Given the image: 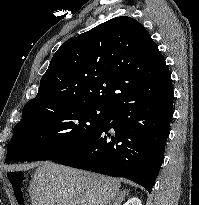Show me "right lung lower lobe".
I'll return each instance as SVG.
<instances>
[{"instance_id":"obj_1","label":"right lung lower lobe","mask_w":199,"mask_h":205,"mask_svg":"<svg viewBox=\"0 0 199 205\" xmlns=\"http://www.w3.org/2000/svg\"><path fill=\"white\" fill-rule=\"evenodd\" d=\"M173 97L169 72L140 94L113 105L101 130L77 149L52 161L112 177H125L150 193L164 157Z\"/></svg>"}]
</instances>
